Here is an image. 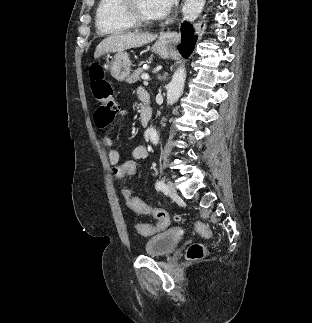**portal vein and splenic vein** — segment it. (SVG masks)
I'll return each instance as SVG.
<instances>
[{
  "label": "portal vein and splenic vein",
  "mask_w": 312,
  "mask_h": 323,
  "mask_svg": "<svg viewBox=\"0 0 312 323\" xmlns=\"http://www.w3.org/2000/svg\"><path fill=\"white\" fill-rule=\"evenodd\" d=\"M141 78H142V80H145V82H146V80H149L148 74H142Z\"/></svg>",
  "instance_id": "obj_1"
}]
</instances>
